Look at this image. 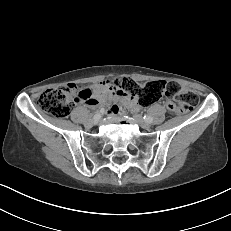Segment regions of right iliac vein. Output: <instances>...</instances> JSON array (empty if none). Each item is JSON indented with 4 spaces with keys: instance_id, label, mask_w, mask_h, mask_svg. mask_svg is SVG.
Segmentation results:
<instances>
[{
    "instance_id": "obj_1",
    "label": "right iliac vein",
    "mask_w": 231,
    "mask_h": 231,
    "mask_svg": "<svg viewBox=\"0 0 231 231\" xmlns=\"http://www.w3.org/2000/svg\"><path fill=\"white\" fill-rule=\"evenodd\" d=\"M101 119V115L97 114L96 117H94L92 120H89L86 122V126H93L94 124H96L99 120Z\"/></svg>"
}]
</instances>
